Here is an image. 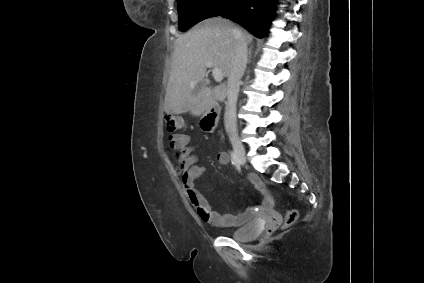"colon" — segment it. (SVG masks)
<instances>
[{"mask_svg": "<svg viewBox=\"0 0 424 283\" xmlns=\"http://www.w3.org/2000/svg\"><path fill=\"white\" fill-rule=\"evenodd\" d=\"M165 126L168 131L175 132L183 126V120L180 116L175 114H166L164 116ZM297 211L289 210L287 211L284 219V227L291 226L297 220Z\"/></svg>", "mask_w": 424, "mask_h": 283, "instance_id": "obj_1", "label": "colon"}]
</instances>
